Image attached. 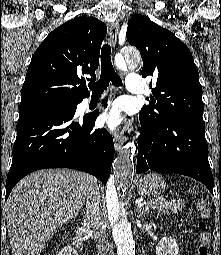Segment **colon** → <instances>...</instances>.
Listing matches in <instances>:
<instances>
[{
  "mask_svg": "<svg viewBox=\"0 0 221 255\" xmlns=\"http://www.w3.org/2000/svg\"><path fill=\"white\" fill-rule=\"evenodd\" d=\"M198 214L201 221L198 223L197 255H210L211 231L206 220L210 217V203L206 198L198 201Z\"/></svg>",
  "mask_w": 221,
  "mask_h": 255,
  "instance_id": "5ec220e1",
  "label": "colon"
}]
</instances>
